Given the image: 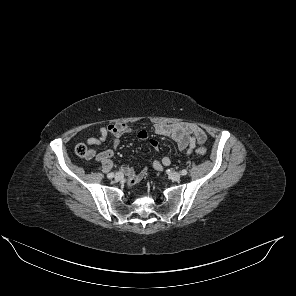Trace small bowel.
Wrapping results in <instances>:
<instances>
[{
  "instance_id": "c3829d8e",
  "label": "small bowel",
  "mask_w": 296,
  "mask_h": 296,
  "mask_svg": "<svg viewBox=\"0 0 296 296\" xmlns=\"http://www.w3.org/2000/svg\"><path fill=\"white\" fill-rule=\"evenodd\" d=\"M154 132L158 135L172 139L180 151H185L190 154L196 145H201L206 140V134L202 128L190 123H157L154 125ZM136 135L143 141H148L155 149H158V142L151 139L146 130H137L133 126L120 123L110 124L99 129L98 137H89L86 143L91 146L100 145L107 137H110L113 143V148L117 149L120 144V138L123 135ZM113 156V150H105L96 154L92 151V155L88 159L95 158L98 161H107ZM171 164V159L164 156L161 160H154L153 167L157 171H162L164 167ZM121 171L127 176L129 184L138 183L144 176V171L136 172V170L129 165H123Z\"/></svg>"
}]
</instances>
